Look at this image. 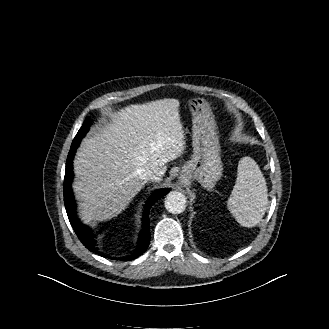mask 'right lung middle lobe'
I'll return each instance as SVG.
<instances>
[{
  "instance_id": "dd1d6c3e",
  "label": "right lung middle lobe",
  "mask_w": 329,
  "mask_h": 329,
  "mask_svg": "<svg viewBox=\"0 0 329 329\" xmlns=\"http://www.w3.org/2000/svg\"><path fill=\"white\" fill-rule=\"evenodd\" d=\"M90 126V119L89 117H87L82 125V127L80 128V130L78 131V133L76 134L73 142H72V145H71V148H70V151L74 150L75 148L78 147L81 139L83 138V136H85V134L87 133L88 131V128ZM69 151V152H70Z\"/></svg>"
}]
</instances>
